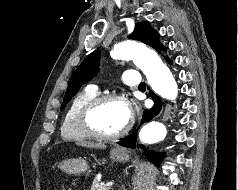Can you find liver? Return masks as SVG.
<instances>
[{
  "label": "liver",
  "mask_w": 238,
  "mask_h": 190,
  "mask_svg": "<svg viewBox=\"0 0 238 190\" xmlns=\"http://www.w3.org/2000/svg\"><path fill=\"white\" fill-rule=\"evenodd\" d=\"M78 144L83 146V147H88V148H100V149H105L106 148L105 145L91 143V142H81V143H78Z\"/></svg>",
  "instance_id": "obj_1"
}]
</instances>
